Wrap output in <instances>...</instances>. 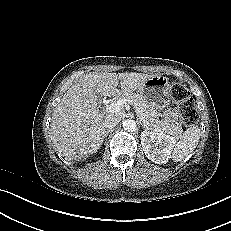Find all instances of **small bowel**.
<instances>
[{
  "instance_id": "1",
  "label": "small bowel",
  "mask_w": 231,
  "mask_h": 231,
  "mask_svg": "<svg viewBox=\"0 0 231 231\" xmlns=\"http://www.w3.org/2000/svg\"><path fill=\"white\" fill-rule=\"evenodd\" d=\"M168 115H169V117H171V118H172V117H174L175 113L171 111V112H169V114H168Z\"/></svg>"
}]
</instances>
